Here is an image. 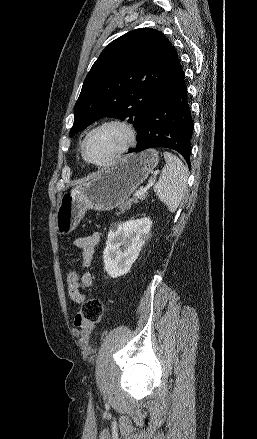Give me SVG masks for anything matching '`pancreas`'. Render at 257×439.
<instances>
[{
    "label": "pancreas",
    "mask_w": 257,
    "mask_h": 439,
    "mask_svg": "<svg viewBox=\"0 0 257 439\" xmlns=\"http://www.w3.org/2000/svg\"><path fill=\"white\" fill-rule=\"evenodd\" d=\"M146 194H142L140 196H134L132 199L127 200L126 202L122 203L119 207V212L116 213L117 216H120L125 212V210H128L131 208V205L133 203H137L139 200H145Z\"/></svg>",
    "instance_id": "cf45deb5"
}]
</instances>
